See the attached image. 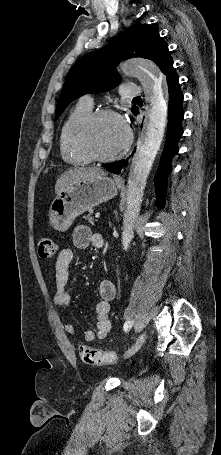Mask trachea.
<instances>
[{
	"label": "trachea",
	"mask_w": 221,
	"mask_h": 455,
	"mask_svg": "<svg viewBox=\"0 0 221 455\" xmlns=\"http://www.w3.org/2000/svg\"><path fill=\"white\" fill-rule=\"evenodd\" d=\"M134 99H140V97H135Z\"/></svg>",
	"instance_id": "trachea-1"
}]
</instances>
